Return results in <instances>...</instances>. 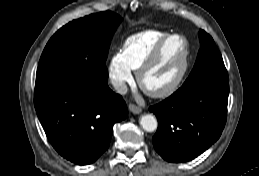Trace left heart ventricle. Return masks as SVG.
<instances>
[{"label": "left heart ventricle", "mask_w": 259, "mask_h": 176, "mask_svg": "<svg viewBox=\"0 0 259 176\" xmlns=\"http://www.w3.org/2000/svg\"><path fill=\"white\" fill-rule=\"evenodd\" d=\"M183 54V42L179 38L169 40L155 64L146 72L143 83L148 89H159L177 75Z\"/></svg>", "instance_id": "1"}]
</instances>
